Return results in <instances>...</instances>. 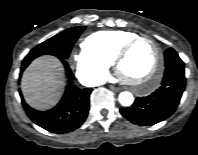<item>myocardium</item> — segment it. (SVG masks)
Instances as JSON below:
<instances>
[{
  "label": "myocardium",
  "instance_id": "myocardium-1",
  "mask_svg": "<svg viewBox=\"0 0 198 155\" xmlns=\"http://www.w3.org/2000/svg\"><path fill=\"white\" fill-rule=\"evenodd\" d=\"M140 41H148L153 45L156 53V58L154 66L151 72L149 73L148 77L142 82H134L122 76L120 72V64L128 55L130 50ZM113 65L117 76L121 79V81L124 84L131 86L137 92L148 93L156 88L161 79V71L163 67V53L156 40L149 36L138 35L128 40L123 46H121V48L117 51L113 58ZM144 85L146 86L144 87Z\"/></svg>",
  "mask_w": 198,
  "mask_h": 155
}]
</instances>
